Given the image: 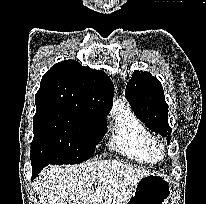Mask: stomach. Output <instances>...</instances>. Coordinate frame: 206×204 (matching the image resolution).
<instances>
[{
	"label": "stomach",
	"mask_w": 206,
	"mask_h": 204,
	"mask_svg": "<svg viewBox=\"0 0 206 204\" xmlns=\"http://www.w3.org/2000/svg\"><path fill=\"white\" fill-rule=\"evenodd\" d=\"M170 195L169 180L162 175L150 173L138 181L127 204H168Z\"/></svg>",
	"instance_id": "1"
}]
</instances>
